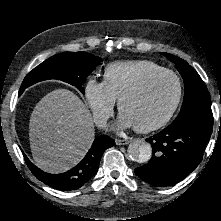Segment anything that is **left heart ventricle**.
Returning <instances> with one entry per match:
<instances>
[{"instance_id": "1", "label": "left heart ventricle", "mask_w": 221, "mask_h": 221, "mask_svg": "<svg viewBox=\"0 0 221 221\" xmlns=\"http://www.w3.org/2000/svg\"><path fill=\"white\" fill-rule=\"evenodd\" d=\"M177 94L175 80L168 75L153 79L142 91L127 98L122 111L134 126H147L161 120L170 110Z\"/></svg>"}]
</instances>
